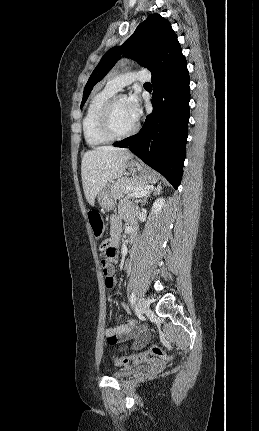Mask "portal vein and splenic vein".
<instances>
[{
  "label": "portal vein and splenic vein",
  "instance_id": "1",
  "mask_svg": "<svg viewBox=\"0 0 259 431\" xmlns=\"http://www.w3.org/2000/svg\"><path fill=\"white\" fill-rule=\"evenodd\" d=\"M148 191V188H144V189H140V190H135L134 192L130 193V196L132 197H141L144 196Z\"/></svg>",
  "mask_w": 259,
  "mask_h": 431
}]
</instances>
